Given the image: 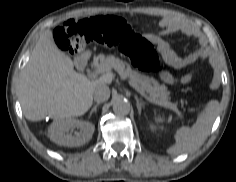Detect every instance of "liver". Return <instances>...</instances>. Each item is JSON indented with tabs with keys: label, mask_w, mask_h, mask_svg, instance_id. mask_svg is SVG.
Returning <instances> with one entry per match:
<instances>
[{
	"label": "liver",
	"mask_w": 236,
	"mask_h": 182,
	"mask_svg": "<svg viewBox=\"0 0 236 182\" xmlns=\"http://www.w3.org/2000/svg\"><path fill=\"white\" fill-rule=\"evenodd\" d=\"M112 80L109 71L93 81L76 72L73 61L57 47L48 29L41 34L20 77L23 114L31 121L46 116L56 120L81 116L92 106L95 86Z\"/></svg>",
	"instance_id": "obj_1"
}]
</instances>
